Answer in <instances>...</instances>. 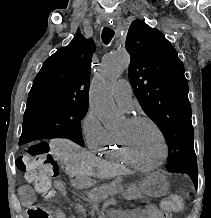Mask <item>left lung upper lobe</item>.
Masks as SVG:
<instances>
[{"instance_id":"left-lung-upper-lobe-1","label":"left lung upper lobe","mask_w":211,"mask_h":218,"mask_svg":"<svg viewBox=\"0 0 211 218\" xmlns=\"http://www.w3.org/2000/svg\"><path fill=\"white\" fill-rule=\"evenodd\" d=\"M131 61L128 78L142 109L167 142L170 172L198 182L194 132L184 67L172 44L142 20L131 23L126 38Z\"/></svg>"}]
</instances>
